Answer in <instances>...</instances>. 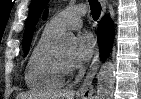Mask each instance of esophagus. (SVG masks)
Listing matches in <instances>:
<instances>
[{"instance_id":"esophagus-1","label":"esophagus","mask_w":141,"mask_h":99,"mask_svg":"<svg viewBox=\"0 0 141 99\" xmlns=\"http://www.w3.org/2000/svg\"><path fill=\"white\" fill-rule=\"evenodd\" d=\"M100 3L102 6V15H104L106 13V2L105 0H100ZM99 65H100V57H99V49L97 48L92 63L90 65V68L80 87V94L85 99L92 97L94 93V86L92 83L95 75L97 74Z\"/></svg>"}]
</instances>
